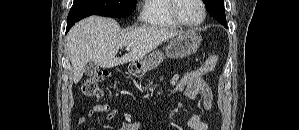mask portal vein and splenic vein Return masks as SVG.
<instances>
[{
	"label": "portal vein and splenic vein",
	"instance_id": "portal-vein-and-splenic-vein-1",
	"mask_svg": "<svg viewBox=\"0 0 299 130\" xmlns=\"http://www.w3.org/2000/svg\"><path fill=\"white\" fill-rule=\"evenodd\" d=\"M126 50H127V51H130V48H129V47H127V48H126Z\"/></svg>",
	"mask_w": 299,
	"mask_h": 130
}]
</instances>
